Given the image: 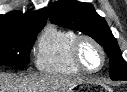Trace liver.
<instances>
[{
  "mask_svg": "<svg viewBox=\"0 0 127 92\" xmlns=\"http://www.w3.org/2000/svg\"><path fill=\"white\" fill-rule=\"evenodd\" d=\"M83 82V78L54 74L12 77L0 73V92H69Z\"/></svg>",
  "mask_w": 127,
  "mask_h": 92,
  "instance_id": "1",
  "label": "liver"
}]
</instances>
